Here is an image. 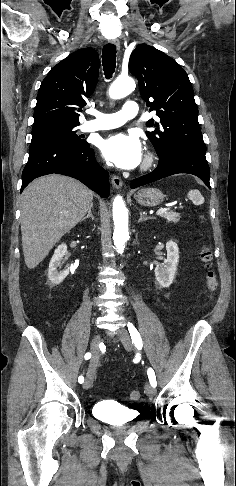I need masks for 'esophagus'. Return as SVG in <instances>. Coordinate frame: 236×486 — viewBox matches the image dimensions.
Here are the masks:
<instances>
[{"instance_id":"obj_1","label":"esophagus","mask_w":236,"mask_h":486,"mask_svg":"<svg viewBox=\"0 0 236 486\" xmlns=\"http://www.w3.org/2000/svg\"><path fill=\"white\" fill-rule=\"evenodd\" d=\"M110 42L112 44H114L118 50H120V42H119L118 39H116V38L115 39H112ZM111 182H112V185L116 189H120L122 187V185H123V182H122L121 178L118 177V176H116V175L112 176Z\"/></svg>"}]
</instances>
